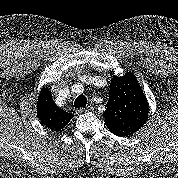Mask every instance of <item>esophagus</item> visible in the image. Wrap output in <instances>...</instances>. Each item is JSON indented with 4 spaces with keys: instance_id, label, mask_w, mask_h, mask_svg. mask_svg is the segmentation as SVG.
<instances>
[{
    "instance_id": "obj_1",
    "label": "esophagus",
    "mask_w": 178,
    "mask_h": 178,
    "mask_svg": "<svg viewBox=\"0 0 178 178\" xmlns=\"http://www.w3.org/2000/svg\"><path fill=\"white\" fill-rule=\"evenodd\" d=\"M93 110V107L92 106H88L86 108H80L78 110L79 113H84V112H89V111H92Z\"/></svg>"
}]
</instances>
